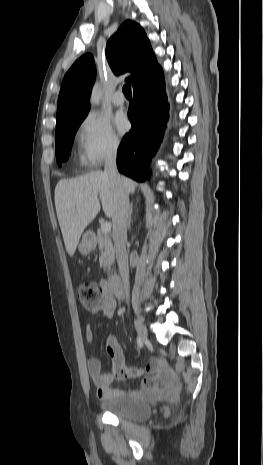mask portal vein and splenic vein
Wrapping results in <instances>:
<instances>
[{"label":"portal vein and splenic vein","mask_w":263,"mask_h":465,"mask_svg":"<svg viewBox=\"0 0 263 465\" xmlns=\"http://www.w3.org/2000/svg\"><path fill=\"white\" fill-rule=\"evenodd\" d=\"M101 230L104 233H109L111 231V223L109 222H104L101 224Z\"/></svg>","instance_id":"1"}]
</instances>
